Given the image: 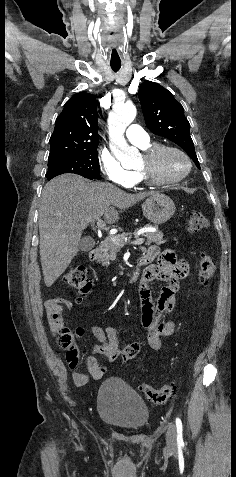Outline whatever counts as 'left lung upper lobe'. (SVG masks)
Listing matches in <instances>:
<instances>
[{"mask_svg":"<svg viewBox=\"0 0 236 477\" xmlns=\"http://www.w3.org/2000/svg\"><path fill=\"white\" fill-rule=\"evenodd\" d=\"M139 100L148 129L183 148L200 169L190 136V124L182 105L171 92L155 82L146 81L139 87Z\"/></svg>","mask_w":236,"mask_h":477,"instance_id":"left-lung-upper-lobe-1","label":"left lung upper lobe"}]
</instances>
